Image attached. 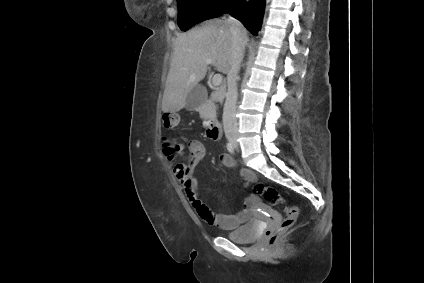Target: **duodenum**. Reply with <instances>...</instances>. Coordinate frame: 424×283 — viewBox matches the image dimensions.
Instances as JSON below:
<instances>
[{
	"label": "duodenum",
	"instance_id": "1",
	"mask_svg": "<svg viewBox=\"0 0 424 283\" xmlns=\"http://www.w3.org/2000/svg\"><path fill=\"white\" fill-rule=\"evenodd\" d=\"M207 135L212 140H219L222 135L221 123L218 119L211 117L206 120Z\"/></svg>",
	"mask_w": 424,
	"mask_h": 283
}]
</instances>
